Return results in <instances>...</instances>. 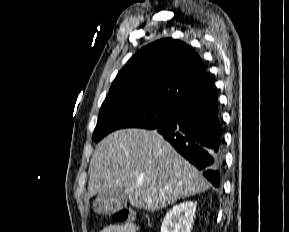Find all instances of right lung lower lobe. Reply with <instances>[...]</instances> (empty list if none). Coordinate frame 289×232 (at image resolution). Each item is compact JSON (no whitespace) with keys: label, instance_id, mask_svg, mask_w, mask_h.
Segmentation results:
<instances>
[{"label":"right lung lower lobe","instance_id":"right-lung-lower-lobe-1","mask_svg":"<svg viewBox=\"0 0 289 232\" xmlns=\"http://www.w3.org/2000/svg\"><path fill=\"white\" fill-rule=\"evenodd\" d=\"M155 129L215 187L219 186L224 156L218 98L180 107L173 120Z\"/></svg>","mask_w":289,"mask_h":232}]
</instances>
